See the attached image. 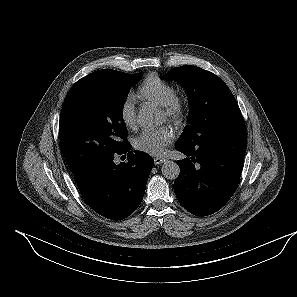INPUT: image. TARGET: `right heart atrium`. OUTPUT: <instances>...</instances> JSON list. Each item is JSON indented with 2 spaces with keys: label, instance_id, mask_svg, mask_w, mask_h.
<instances>
[{
  "label": "right heart atrium",
  "instance_id": "right-heart-atrium-1",
  "mask_svg": "<svg viewBox=\"0 0 297 297\" xmlns=\"http://www.w3.org/2000/svg\"><path fill=\"white\" fill-rule=\"evenodd\" d=\"M119 116L123 125L129 129L136 127V106L131 96H126L120 103Z\"/></svg>",
  "mask_w": 297,
  "mask_h": 297
}]
</instances>
